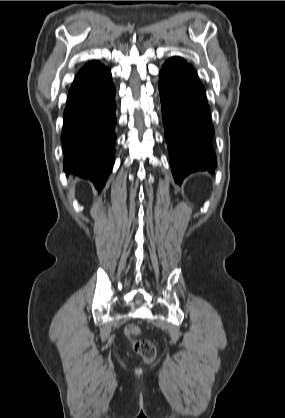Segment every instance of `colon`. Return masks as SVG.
<instances>
[{"mask_svg": "<svg viewBox=\"0 0 285 418\" xmlns=\"http://www.w3.org/2000/svg\"><path fill=\"white\" fill-rule=\"evenodd\" d=\"M139 334L140 329L138 326L128 325L125 328V335L129 339L133 349L145 363H151L156 357V347L147 339L135 338V336H138Z\"/></svg>", "mask_w": 285, "mask_h": 418, "instance_id": "5ec220e1", "label": "colon"}]
</instances>
